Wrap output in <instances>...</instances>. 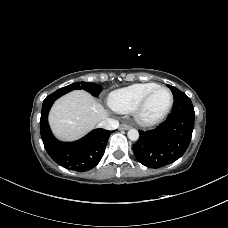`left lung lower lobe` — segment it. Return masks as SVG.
Wrapping results in <instances>:
<instances>
[{"label": "left lung lower lobe", "mask_w": 228, "mask_h": 228, "mask_svg": "<svg viewBox=\"0 0 228 228\" xmlns=\"http://www.w3.org/2000/svg\"><path fill=\"white\" fill-rule=\"evenodd\" d=\"M194 117V107L186 94L175 99L172 112L162 124L153 130L139 131V140L133 145L138 161L160 168L180 158L189 146Z\"/></svg>", "instance_id": "left-lung-lower-lobe-1"}]
</instances>
